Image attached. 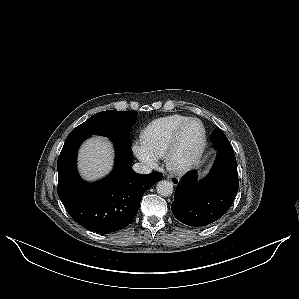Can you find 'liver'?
I'll return each instance as SVG.
<instances>
[{
	"label": "liver",
	"instance_id": "obj_1",
	"mask_svg": "<svg viewBox=\"0 0 299 299\" xmlns=\"http://www.w3.org/2000/svg\"><path fill=\"white\" fill-rule=\"evenodd\" d=\"M113 147L107 138L94 136L81 146L78 155V167L87 180L99 179L112 169Z\"/></svg>",
	"mask_w": 299,
	"mask_h": 299
}]
</instances>
